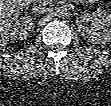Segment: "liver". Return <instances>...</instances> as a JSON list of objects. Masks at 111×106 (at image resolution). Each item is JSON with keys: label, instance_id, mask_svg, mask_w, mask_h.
I'll return each mask as SVG.
<instances>
[{"label": "liver", "instance_id": "6515ba94", "mask_svg": "<svg viewBox=\"0 0 111 106\" xmlns=\"http://www.w3.org/2000/svg\"><path fill=\"white\" fill-rule=\"evenodd\" d=\"M24 4L23 0L0 1V45L2 48L8 43L11 24L19 17Z\"/></svg>", "mask_w": 111, "mask_h": 106}]
</instances>
